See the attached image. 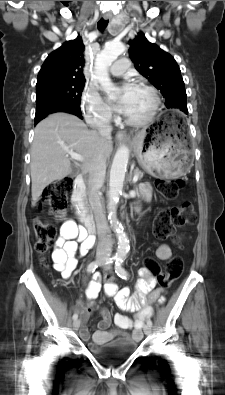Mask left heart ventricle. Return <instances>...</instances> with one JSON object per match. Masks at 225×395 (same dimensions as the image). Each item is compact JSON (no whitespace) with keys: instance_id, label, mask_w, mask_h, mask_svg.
I'll return each mask as SVG.
<instances>
[{"instance_id":"1","label":"left heart ventricle","mask_w":225,"mask_h":395,"mask_svg":"<svg viewBox=\"0 0 225 395\" xmlns=\"http://www.w3.org/2000/svg\"><path fill=\"white\" fill-rule=\"evenodd\" d=\"M151 106L152 97L149 92L142 88H136L134 101L126 116L132 120L142 119L149 113Z\"/></svg>"}]
</instances>
